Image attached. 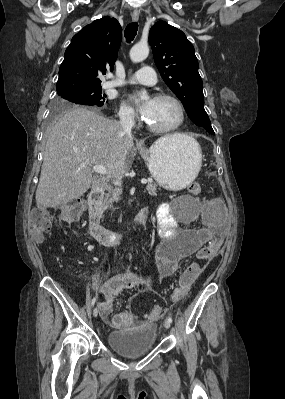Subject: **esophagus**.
<instances>
[{"mask_svg":"<svg viewBox=\"0 0 285 399\" xmlns=\"http://www.w3.org/2000/svg\"><path fill=\"white\" fill-rule=\"evenodd\" d=\"M139 19V11L136 9L134 10V12L132 13V21L133 22H137Z\"/></svg>","mask_w":285,"mask_h":399,"instance_id":"esophagus-1","label":"esophagus"}]
</instances>
